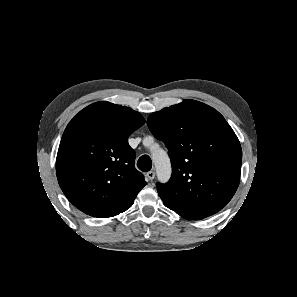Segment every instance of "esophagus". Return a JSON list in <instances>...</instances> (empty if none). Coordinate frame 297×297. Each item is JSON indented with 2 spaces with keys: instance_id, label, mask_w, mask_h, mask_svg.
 Masks as SVG:
<instances>
[{
  "instance_id": "esophagus-1",
  "label": "esophagus",
  "mask_w": 297,
  "mask_h": 297,
  "mask_svg": "<svg viewBox=\"0 0 297 297\" xmlns=\"http://www.w3.org/2000/svg\"><path fill=\"white\" fill-rule=\"evenodd\" d=\"M146 177L148 180L151 181L155 178V173L153 171H149V172H147Z\"/></svg>"
}]
</instances>
